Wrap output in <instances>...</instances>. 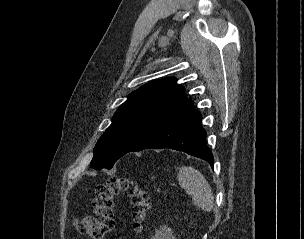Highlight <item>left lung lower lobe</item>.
Masks as SVG:
<instances>
[{"label":"left lung lower lobe","mask_w":304,"mask_h":239,"mask_svg":"<svg viewBox=\"0 0 304 239\" xmlns=\"http://www.w3.org/2000/svg\"><path fill=\"white\" fill-rule=\"evenodd\" d=\"M205 138L206 132L201 126V114L192 105L158 127L129 152L171 148L201 158L213 167V155L206 145Z\"/></svg>","instance_id":"obj_1"}]
</instances>
